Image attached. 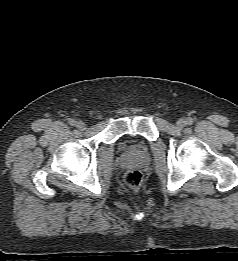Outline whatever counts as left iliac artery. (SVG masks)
I'll list each match as a JSON object with an SVG mask.
<instances>
[{"label":"left iliac artery","mask_w":238,"mask_h":261,"mask_svg":"<svg viewBox=\"0 0 238 261\" xmlns=\"http://www.w3.org/2000/svg\"><path fill=\"white\" fill-rule=\"evenodd\" d=\"M186 124L192 125L193 124V119L192 118H187L186 119Z\"/></svg>","instance_id":"44dca946"}]
</instances>
